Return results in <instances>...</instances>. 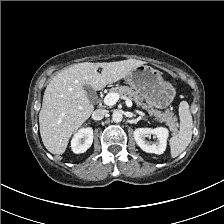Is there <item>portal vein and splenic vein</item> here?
Here are the masks:
<instances>
[{"instance_id": "1", "label": "portal vein and splenic vein", "mask_w": 224, "mask_h": 224, "mask_svg": "<svg viewBox=\"0 0 224 224\" xmlns=\"http://www.w3.org/2000/svg\"><path fill=\"white\" fill-rule=\"evenodd\" d=\"M120 98V95L118 93H109L104 97V104L108 106L115 105ZM126 99V105L127 107L132 106V101L129 98L123 97Z\"/></svg>"}]
</instances>
